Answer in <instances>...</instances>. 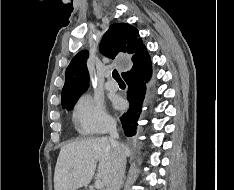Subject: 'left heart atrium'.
<instances>
[{
    "mask_svg": "<svg viewBox=\"0 0 234 190\" xmlns=\"http://www.w3.org/2000/svg\"><path fill=\"white\" fill-rule=\"evenodd\" d=\"M116 105H117V106H119V105H120V103H119V102H116Z\"/></svg>",
    "mask_w": 234,
    "mask_h": 190,
    "instance_id": "obj_1",
    "label": "left heart atrium"
}]
</instances>
